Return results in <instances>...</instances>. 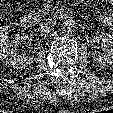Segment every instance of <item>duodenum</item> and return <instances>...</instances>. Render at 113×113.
<instances>
[{
  "label": "duodenum",
  "instance_id": "duodenum-1",
  "mask_svg": "<svg viewBox=\"0 0 113 113\" xmlns=\"http://www.w3.org/2000/svg\"><path fill=\"white\" fill-rule=\"evenodd\" d=\"M73 13L71 10L63 8L53 14H47L44 16L46 20H67L72 18ZM38 17L33 14H27L21 19V26L24 28H30L36 21Z\"/></svg>",
  "mask_w": 113,
  "mask_h": 113
}]
</instances>
